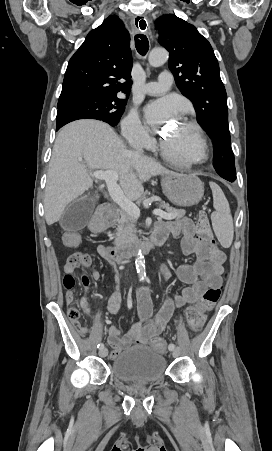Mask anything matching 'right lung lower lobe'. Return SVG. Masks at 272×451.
<instances>
[{"instance_id":"1","label":"right lung lower lobe","mask_w":272,"mask_h":451,"mask_svg":"<svg viewBox=\"0 0 272 451\" xmlns=\"http://www.w3.org/2000/svg\"><path fill=\"white\" fill-rule=\"evenodd\" d=\"M61 127H62V126H58V127L56 126V130H59Z\"/></svg>"}]
</instances>
